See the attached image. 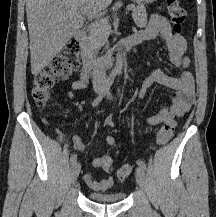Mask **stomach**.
Returning a JSON list of instances; mask_svg holds the SVG:
<instances>
[{
	"instance_id": "stomach-1",
	"label": "stomach",
	"mask_w": 216,
	"mask_h": 217,
	"mask_svg": "<svg viewBox=\"0 0 216 217\" xmlns=\"http://www.w3.org/2000/svg\"><path fill=\"white\" fill-rule=\"evenodd\" d=\"M139 1H142L144 3H153L156 2L157 0H139Z\"/></svg>"
}]
</instances>
